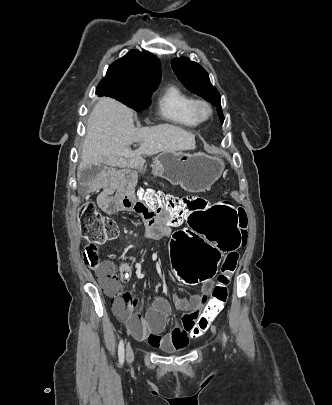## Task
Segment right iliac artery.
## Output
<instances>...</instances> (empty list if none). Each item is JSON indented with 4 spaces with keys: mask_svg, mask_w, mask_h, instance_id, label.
<instances>
[{
    "mask_svg": "<svg viewBox=\"0 0 332 405\" xmlns=\"http://www.w3.org/2000/svg\"><path fill=\"white\" fill-rule=\"evenodd\" d=\"M118 355H119L120 364H123V362H124V343L122 340L119 343Z\"/></svg>",
    "mask_w": 332,
    "mask_h": 405,
    "instance_id": "1",
    "label": "right iliac artery"
}]
</instances>
